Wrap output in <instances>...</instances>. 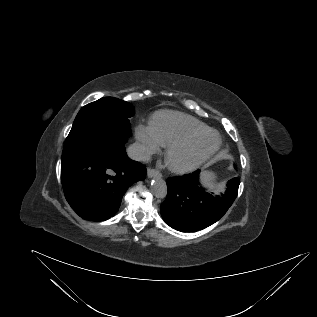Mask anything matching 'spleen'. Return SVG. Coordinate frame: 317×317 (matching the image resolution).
Instances as JSON below:
<instances>
[{
    "label": "spleen",
    "mask_w": 317,
    "mask_h": 317,
    "mask_svg": "<svg viewBox=\"0 0 317 317\" xmlns=\"http://www.w3.org/2000/svg\"><path fill=\"white\" fill-rule=\"evenodd\" d=\"M216 176L212 172H203L202 174V182L205 186L212 187L215 184Z\"/></svg>",
    "instance_id": "3e777b00"
}]
</instances>
